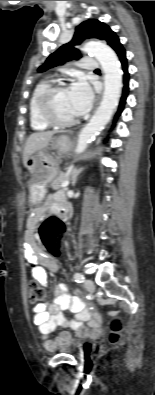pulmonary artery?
I'll list each match as a JSON object with an SVG mask.
<instances>
[{
    "label": "pulmonary artery",
    "mask_w": 155,
    "mask_h": 395,
    "mask_svg": "<svg viewBox=\"0 0 155 395\" xmlns=\"http://www.w3.org/2000/svg\"><path fill=\"white\" fill-rule=\"evenodd\" d=\"M78 66L82 69H86V70H95L98 67V62L95 58L93 57H83L79 63Z\"/></svg>",
    "instance_id": "pulmonary-artery-1"
}]
</instances>
